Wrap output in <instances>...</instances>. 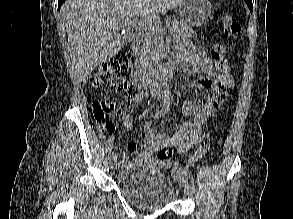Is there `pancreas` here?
<instances>
[{
	"label": "pancreas",
	"instance_id": "cf45deb5",
	"mask_svg": "<svg viewBox=\"0 0 293 219\" xmlns=\"http://www.w3.org/2000/svg\"><path fill=\"white\" fill-rule=\"evenodd\" d=\"M170 30L181 37H195L196 33L191 26L181 18L169 19ZM143 56L149 63L158 62L164 55V31L163 28H153L148 31L143 44Z\"/></svg>",
	"mask_w": 293,
	"mask_h": 219
}]
</instances>
